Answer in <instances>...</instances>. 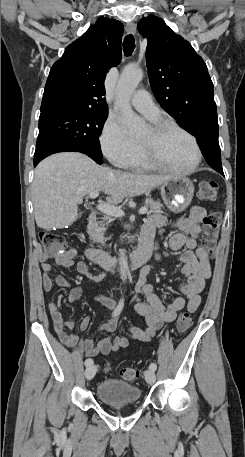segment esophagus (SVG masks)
I'll return each instance as SVG.
<instances>
[{"label": "esophagus", "mask_w": 245, "mask_h": 457, "mask_svg": "<svg viewBox=\"0 0 245 457\" xmlns=\"http://www.w3.org/2000/svg\"><path fill=\"white\" fill-rule=\"evenodd\" d=\"M126 32L131 35H134L136 33V26L133 22L127 23Z\"/></svg>", "instance_id": "esophagus-1"}]
</instances>
